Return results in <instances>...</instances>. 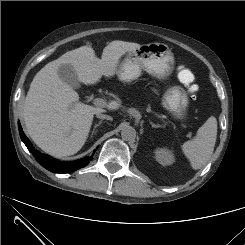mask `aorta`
Segmentation results:
<instances>
[{"label": "aorta", "mask_w": 245, "mask_h": 245, "mask_svg": "<svg viewBox=\"0 0 245 245\" xmlns=\"http://www.w3.org/2000/svg\"><path fill=\"white\" fill-rule=\"evenodd\" d=\"M121 137L124 140H133L136 137V130L134 127L126 125L121 130Z\"/></svg>", "instance_id": "obj_1"}]
</instances>
